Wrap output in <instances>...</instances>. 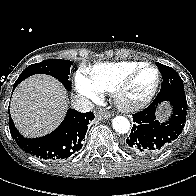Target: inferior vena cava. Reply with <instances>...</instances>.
Returning <instances> with one entry per match:
<instances>
[{
	"label": "inferior vena cava",
	"mask_w": 196,
	"mask_h": 196,
	"mask_svg": "<svg viewBox=\"0 0 196 196\" xmlns=\"http://www.w3.org/2000/svg\"><path fill=\"white\" fill-rule=\"evenodd\" d=\"M71 106L73 109L83 113L89 112L94 108V104L81 95H75L72 98Z\"/></svg>",
	"instance_id": "inferior-vena-cava-1"
}]
</instances>
